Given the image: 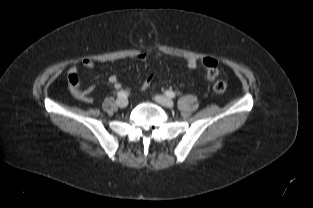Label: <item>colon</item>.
Listing matches in <instances>:
<instances>
[{"label": "colon", "mask_w": 313, "mask_h": 208, "mask_svg": "<svg viewBox=\"0 0 313 208\" xmlns=\"http://www.w3.org/2000/svg\"><path fill=\"white\" fill-rule=\"evenodd\" d=\"M153 77H154L153 73L149 74L146 77L144 81L145 87H147L151 83ZM218 77L219 70L217 67H212L207 71V79L211 85L212 90L216 93H223L227 88V84L225 81L218 79Z\"/></svg>", "instance_id": "5ec220e1"}]
</instances>
